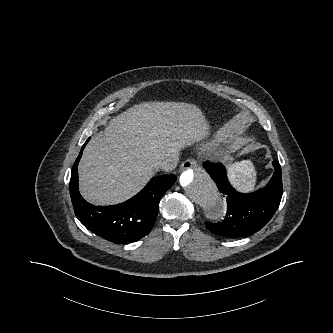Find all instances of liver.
<instances>
[{
    "label": "liver",
    "instance_id": "1",
    "mask_svg": "<svg viewBox=\"0 0 333 333\" xmlns=\"http://www.w3.org/2000/svg\"><path fill=\"white\" fill-rule=\"evenodd\" d=\"M201 109L183 102H144L112 118L84 149L79 162L83 198L115 205L137 194L155 164L178 158L181 148L208 135Z\"/></svg>",
    "mask_w": 333,
    "mask_h": 333
}]
</instances>
